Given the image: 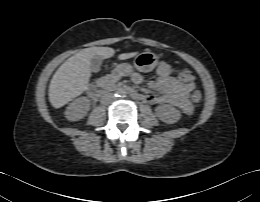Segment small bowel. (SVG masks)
Masks as SVG:
<instances>
[{"label": "small bowel", "instance_id": "obj_1", "mask_svg": "<svg viewBox=\"0 0 260 202\" xmlns=\"http://www.w3.org/2000/svg\"><path fill=\"white\" fill-rule=\"evenodd\" d=\"M156 73L158 78L149 83V88L160 93V96L141 94V99L151 104H172L177 106L184 114L190 115L193 112V106L187 96L194 89V83H181L173 78L171 66L167 62H161ZM128 77L136 84L142 82V76L137 72H130ZM120 78L121 76L118 73H112L100 81L114 83Z\"/></svg>", "mask_w": 260, "mask_h": 202}]
</instances>
